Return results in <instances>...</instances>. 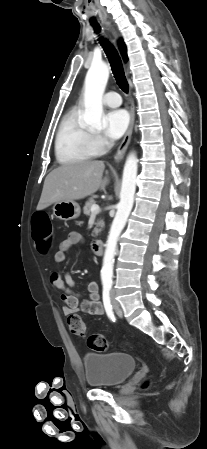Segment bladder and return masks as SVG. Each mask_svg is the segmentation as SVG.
<instances>
[{
	"label": "bladder",
	"mask_w": 207,
	"mask_h": 449,
	"mask_svg": "<svg viewBox=\"0 0 207 449\" xmlns=\"http://www.w3.org/2000/svg\"><path fill=\"white\" fill-rule=\"evenodd\" d=\"M83 367L89 385L113 387L128 379L136 369V362L131 355L121 352L86 353Z\"/></svg>",
	"instance_id": "obj_1"
}]
</instances>
